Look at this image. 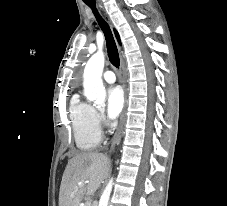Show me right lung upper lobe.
<instances>
[{"mask_svg":"<svg viewBox=\"0 0 227 206\" xmlns=\"http://www.w3.org/2000/svg\"><path fill=\"white\" fill-rule=\"evenodd\" d=\"M115 35H116V38H117L118 42L120 43V38H119V35H118L116 30H115Z\"/></svg>","mask_w":227,"mask_h":206,"instance_id":"1","label":"right lung upper lobe"}]
</instances>
